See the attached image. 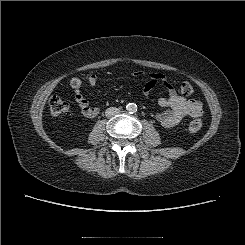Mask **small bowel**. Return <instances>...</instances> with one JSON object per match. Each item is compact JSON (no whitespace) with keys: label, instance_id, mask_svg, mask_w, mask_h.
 Here are the masks:
<instances>
[{"label":"small bowel","instance_id":"c3829d8e","mask_svg":"<svg viewBox=\"0 0 245 245\" xmlns=\"http://www.w3.org/2000/svg\"><path fill=\"white\" fill-rule=\"evenodd\" d=\"M145 75L144 71H136L133 73L134 77H142ZM98 77L96 74L88 76V84L94 87L97 84ZM163 85L168 91V97H159L158 104L166 108L162 112H157L155 117L161 126L164 128H171L180 123L186 117H200L203 113L202 103L195 99H187L179 95L174 85L161 73H151L149 80L144 86V95L149 96L152 89L156 85ZM75 100L81 110V113L86 118H94L98 115L99 109L92 107L89 101L80 93L75 97Z\"/></svg>","mask_w":245,"mask_h":245}]
</instances>
